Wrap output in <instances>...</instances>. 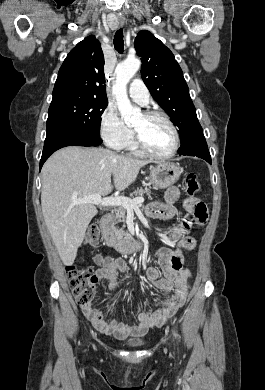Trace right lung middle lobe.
Masks as SVG:
<instances>
[{
  "label": "right lung middle lobe",
  "mask_w": 265,
  "mask_h": 390,
  "mask_svg": "<svg viewBox=\"0 0 265 390\" xmlns=\"http://www.w3.org/2000/svg\"><path fill=\"white\" fill-rule=\"evenodd\" d=\"M107 105V100L87 97L52 100L48 110L47 128L69 126L100 137V117Z\"/></svg>",
  "instance_id": "obj_1"
}]
</instances>
